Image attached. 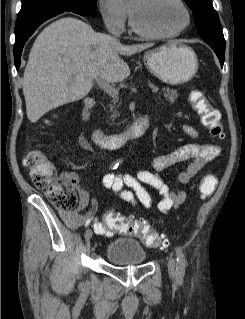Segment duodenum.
<instances>
[{
    "label": "duodenum",
    "instance_id": "1",
    "mask_svg": "<svg viewBox=\"0 0 245 319\" xmlns=\"http://www.w3.org/2000/svg\"><path fill=\"white\" fill-rule=\"evenodd\" d=\"M93 105V100L86 99L81 111L82 119L85 122L89 121L90 110ZM149 126V117L142 115L125 131L120 133H105L98 128L92 131L93 141L101 148L114 150L122 147L128 140L141 137Z\"/></svg>",
    "mask_w": 245,
    "mask_h": 319
}]
</instances>
